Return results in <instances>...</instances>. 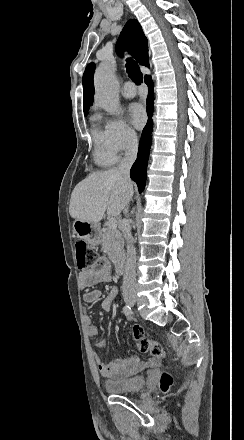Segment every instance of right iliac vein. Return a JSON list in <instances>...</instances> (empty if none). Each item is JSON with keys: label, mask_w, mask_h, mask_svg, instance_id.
I'll use <instances>...</instances> for the list:
<instances>
[{"label": "right iliac vein", "mask_w": 244, "mask_h": 440, "mask_svg": "<svg viewBox=\"0 0 244 440\" xmlns=\"http://www.w3.org/2000/svg\"><path fill=\"white\" fill-rule=\"evenodd\" d=\"M125 302H126V304H128V305H134L135 302H136V300H135L134 297H126V298H125Z\"/></svg>", "instance_id": "1"}]
</instances>
